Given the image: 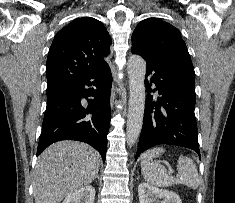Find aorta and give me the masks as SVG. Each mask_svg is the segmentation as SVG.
<instances>
[{
    "label": "aorta",
    "mask_w": 235,
    "mask_h": 203,
    "mask_svg": "<svg viewBox=\"0 0 235 203\" xmlns=\"http://www.w3.org/2000/svg\"><path fill=\"white\" fill-rule=\"evenodd\" d=\"M129 78V108L126 128L127 144L132 146L139 138L145 109L146 62L139 55H132L127 64Z\"/></svg>",
    "instance_id": "aorta-1"
}]
</instances>
